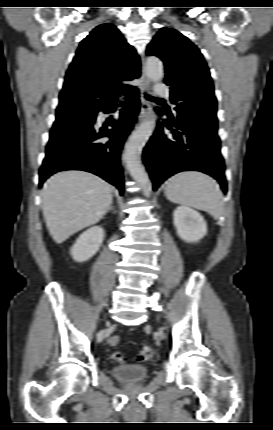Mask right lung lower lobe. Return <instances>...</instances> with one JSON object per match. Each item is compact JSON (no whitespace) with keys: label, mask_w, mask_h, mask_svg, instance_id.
I'll use <instances>...</instances> for the list:
<instances>
[{"label":"right lung lower lobe","mask_w":273,"mask_h":430,"mask_svg":"<svg viewBox=\"0 0 273 430\" xmlns=\"http://www.w3.org/2000/svg\"><path fill=\"white\" fill-rule=\"evenodd\" d=\"M126 105L118 121L110 124L113 129L96 126L99 111L111 112L117 97L91 106L92 119L88 126L76 131L50 137L46 157L39 172V186L52 174L64 170H84L94 173L124 192L120 154L124 140L139 112V95L136 87L123 92ZM110 137L109 141L99 140Z\"/></svg>","instance_id":"1"}]
</instances>
